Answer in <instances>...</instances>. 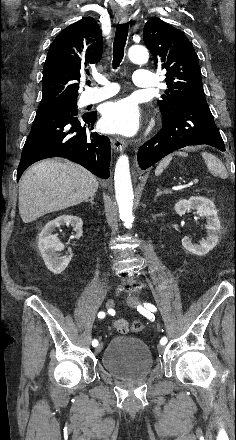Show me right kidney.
<instances>
[{"label": "right kidney", "mask_w": 236, "mask_h": 440, "mask_svg": "<svg viewBox=\"0 0 236 440\" xmlns=\"http://www.w3.org/2000/svg\"><path fill=\"white\" fill-rule=\"evenodd\" d=\"M71 225L75 231V238L79 239L83 232V221L81 218L73 215H61L54 220L49 221L39 234L38 248L45 262L46 267L54 274H60L68 266L72 249L68 248L65 255L61 254L65 246L61 243L57 235L52 234L53 231L62 225Z\"/></svg>", "instance_id": "ca27d5eb"}]
</instances>
